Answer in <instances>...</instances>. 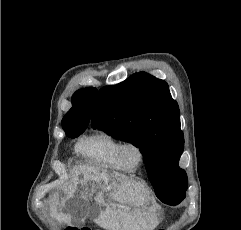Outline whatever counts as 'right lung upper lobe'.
Returning <instances> with one entry per match:
<instances>
[{"instance_id":"1","label":"right lung upper lobe","mask_w":241,"mask_h":230,"mask_svg":"<svg viewBox=\"0 0 241 230\" xmlns=\"http://www.w3.org/2000/svg\"><path fill=\"white\" fill-rule=\"evenodd\" d=\"M96 92V88L87 87L73 94L72 108L62 119V126L65 131L87 128L90 120L93 98Z\"/></svg>"}]
</instances>
